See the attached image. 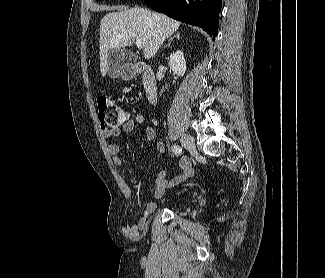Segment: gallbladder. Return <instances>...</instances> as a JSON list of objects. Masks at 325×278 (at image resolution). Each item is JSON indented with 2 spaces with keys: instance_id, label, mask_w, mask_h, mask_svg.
I'll return each mask as SVG.
<instances>
[{
  "instance_id": "1",
  "label": "gallbladder",
  "mask_w": 325,
  "mask_h": 278,
  "mask_svg": "<svg viewBox=\"0 0 325 278\" xmlns=\"http://www.w3.org/2000/svg\"><path fill=\"white\" fill-rule=\"evenodd\" d=\"M137 56L126 49L113 48L108 52L107 66L108 75L117 78L122 74L125 60H136Z\"/></svg>"
}]
</instances>
